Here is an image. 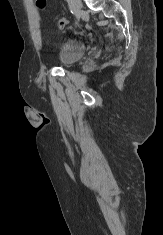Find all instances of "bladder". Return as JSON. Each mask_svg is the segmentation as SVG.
Here are the masks:
<instances>
[{
    "mask_svg": "<svg viewBox=\"0 0 163 235\" xmlns=\"http://www.w3.org/2000/svg\"><path fill=\"white\" fill-rule=\"evenodd\" d=\"M85 46L75 39L65 41L58 52V59L63 67H69L77 63L85 54Z\"/></svg>",
    "mask_w": 163,
    "mask_h": 235,
    "instance_id": "bladder-1",
    "label": "bladder"
}]
</instances>
